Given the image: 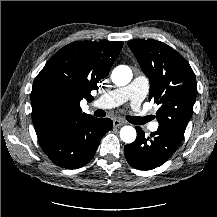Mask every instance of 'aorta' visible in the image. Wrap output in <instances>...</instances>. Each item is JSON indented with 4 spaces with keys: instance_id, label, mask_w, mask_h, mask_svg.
I'll use <instances>...</instances> for the list:
<instances>
[{
    "instance_id": "762f6f07",
    "label": "aorta",
    "mask_w": 217,
    "mask_h": 217,
    "mask_svg": "<svg viewBox=\"0 0 217 217\" xmlns=\"http://www.w3.org/2000/svg\"><path fill=\"white\" fill-rule=\"evenodd\" d=\"M132 70L126 65H120L112 71L111 79L116 86H125L132 79ZM137 136L136 130L132 126H124L120 130L121 140L125 143H132Z\"/></svg>"
}]
</instances>
